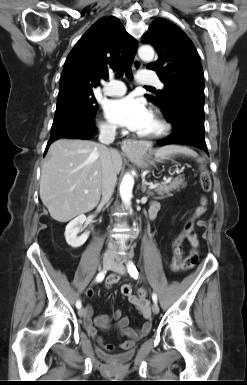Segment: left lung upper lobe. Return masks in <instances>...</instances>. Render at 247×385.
Wrapping results in <instances>:
<instances>
[{
  "label": "left lung upper lobe",
  "mask_w": 247,
  "mask_h": 385,
  "mask_svg": "<svg viewBox=\"0 0 247 385\" xmlns=\"http://www.w3.org/2000/svg\"><path fill=\"white\" fill-rule=\"evenodd\" d=\"M153 45L158 60L147 65L155 70L164 89L146 98L159 106L165 117L176 107L204 110V76L198 52L190 38L175 24L164 18L152 22L142 37Z\"/></svg>",
  "instance_id": "5c2ea615"
}]
</instances>
